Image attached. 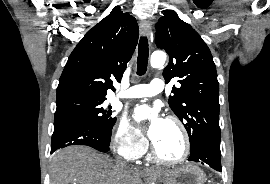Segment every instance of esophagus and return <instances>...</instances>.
<instances>
[{"instance_id":"esophagus-1","label":"esophagus","mask_w":270,"mask_h":184,"mask_svg":"<svg viewBox=\"0 0 270 184\" xmlns=\"http://www.w3.org/2000/svg\"><path fill=\"white\" fill-rule=\"evenodd\" d=\"M140 33L144 36H149L151 33V22L147 19H144L140 22ZM149 170H147L148 172Z\"/></svg>"}]
</instances>
